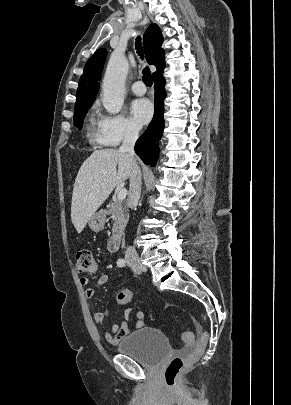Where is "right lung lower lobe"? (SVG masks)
Listing matches in <instances>:
<instances>
[{"mask_svg": "<svg viewBox=\"0 0 291 405\" xmlns=\"http://www.w3.org/2000/svg\"><path fill=\"white\" fill-rule=\"evenodd\" d=\"M155 83L154 116L145 133L137 140L134 150L145 164L153 166L158 157V144L164 130L163 100L165 78L162 74L153 77Z\"/></svg>", "mask_w": 291, "mask_h": 405, "instance_id": "1", "label": "right lung lower lobe"}]
</instances>
